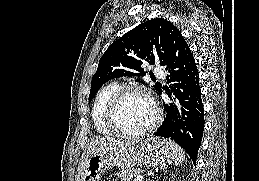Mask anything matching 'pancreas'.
<instances>
[{"label":"pancreas","instance_id":"1","mask_svg":"<svg viewBox=\"0 0 259 181\" xmlns=\"http://www.w3.org/2000/svg\"><path fill=\"white\" fill-rule=\"evenodd\" d=\"M141 173V170L139 169H124L122 171H119L117 173L118 178H120L121 181H134V178L139 176Z\"/></svg>","mask_w":259,"mask_h":181}]
</instances>
